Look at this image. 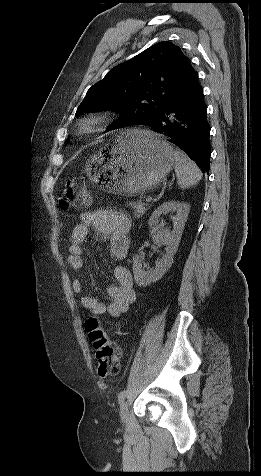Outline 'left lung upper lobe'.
Returning <instances> with one entry per match:
<instances>
[{"instance_id": "left-lung-upper-lobe-1", "label": "left lung upper lobe", "mask_w": 261, "mask_h": 476, "mask_svg": "<svg viewBox=\"0 0 261 476\" xmlns=\"http://www.w3.org/2000/svg\"><path fill=\"white\" fill-rule=\"evenodd\" d=\"M190 60L168 41L159 42L112 68L94 84L76 116L99 110L118 112L107 131L142 125L160 114L194 74Z\"/></svg>"}]
</instances>
